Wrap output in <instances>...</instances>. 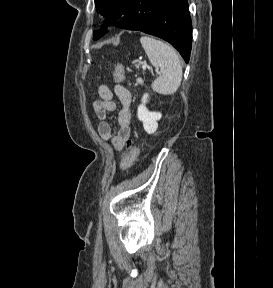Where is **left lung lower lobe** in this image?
Wrapping results in <instances>:
<instances>
[{"mask_svg":"<svg viewBox=\"0 0 273 288\" xmlns=\"http://www.w3.org/2000/svg\"><path fill=\"white\" fill-rule=\"evenodd\" d=\"M118 27L160 37L189 62L192 24L187 0H134Z\"/></svg>","mask_w":273,"mask_h":288,"instance_id":"0a47b994","label":"left lung lower lobe"}]
</instances>
